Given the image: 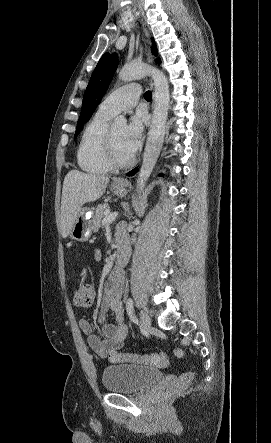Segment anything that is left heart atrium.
<instances>
[{
	"instance_id": "left-heart-atrium-1",
	"label": "left heart atrium",
	"mask_w": 271,
	"mask_h": 443,
	"mask_svg": "<svg viewBox=\"0 0 271 443\" xmlns=\"http://www.w3.org/2000/svg\"><path fill=\"white\" fill-rule=\"evenodd\" d=\"M147 122V115L142 110H138L130 116L123 138L124 148L129 154L133 155L141 148Z\"/></svg>"
}]
</instances>
